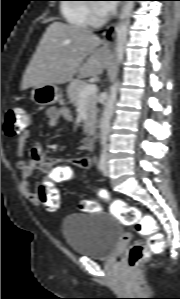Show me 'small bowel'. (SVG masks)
Returning a JSON list of instances; mask_svg holds the SVG:
<instances>
[{"instance_id": "c3829d8e", "label": "small bowel", "mask_w": 180, "mask_h": 299, "mask_svg": "<svg viewBox=\"0 0 180 299\" xmlns=\"http://www.w3.org/2000/svg\"><path fill=\"white\" fill-rule=\"evenodd\" d=\"M48 127L56 129L61 122L71 121L70 111L65 107L52 106L48 108ZM30 130H24L17 139L16 156L18 158L16 166L20 171L21 187L26 198L33 204L40 203L39 195L32 192L30 179L35 171L47 174L51 179L63 182L68 179L72 167L87 169L91 166V159L88 157H52L44 153L39 144H35L30 149L28 158L25 159L26 143L31 138ZM79 148L83 151L93 149V141L85 138L80 141Z\"/></svg>"}]
</instances>
